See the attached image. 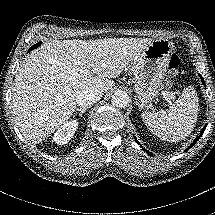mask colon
Here are the masks:
<instances>
[{"label":"colon","instance_id":"colon-1","mask_svg":"<svg viewBox=\"0 0 215 215\" xmlns=\"http://www.w3.org/2000/svg\"><path fill=\"white\" fill-rule=\"evenodd\" d=\"M179 63H180V58L174 54L170 57V60H169V67L170 68H177L179 66ZM172 80H167L165 82V88L166 89H169L171 86H172Z\"/></svg>","mask_w":215,"mask_h":215}]
</instances>
